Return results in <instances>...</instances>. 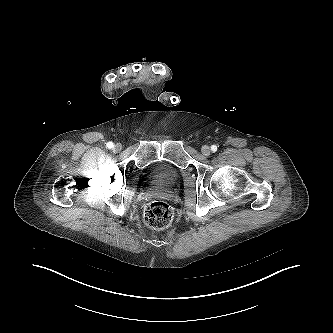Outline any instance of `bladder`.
Listing matches in <instances>:
<instances>
[{"mask_svg": "<svg viewBox=\"0 0 333 333\" xmlns=\"http://www.w3.org/2000/svg\"><path fill=\"white\" fill-rule=\"evenodd\" d=\"M179 175V169L167 160L153 162L144 169V176L148 181L160 184H173Z\"/></svg>", "mask_w": 333, "mask_h": 333, "instance_id": "obj_1", "label": "bladder"}]
</instances>
